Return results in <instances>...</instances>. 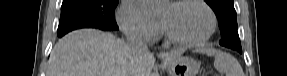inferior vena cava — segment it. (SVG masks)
Listing matches in <instances>:
<instances>
[{"label": "inferior vena cava", "mask_w": 287, "mask_h": 76, "mask_svg": "<svg viewBox=\"0 0 287 76\" xmlns=\"http://www.w3.org/2000/svg\"><path fill=\"white\" fill-rule=\"evenodd\" d=\"M126 43L132 54H144L148 52L146 43H144L134 32H128L126 34Z\"/></svg>", "instance_id": "inferior-vena-cava-1"}]
</instances>
